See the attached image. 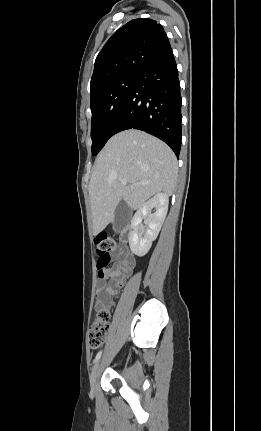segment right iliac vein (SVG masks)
Masks as SVG:
<instances>
[{
  "instance_id": "right-iliac-vein-1",
  "label": "right iliac vein",
  "mask_w": 261,
  "mask_h": 431,
  "mask_svg": "<svg viewBox=\"0 0 261 431\" xmlns=\"http://www.w3.org/2000/svg\"><path fill=\"white\" fill-rule=\"evenodd\" d=\"M99 367H100V364H99V362H97L95 364V366L93 367L92 374L90 376V386H91L92 392H94L95 389H96V383H97V378H98V373H99Z\"/></svg>"
}]
</instances>
